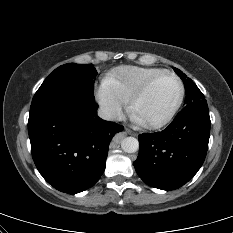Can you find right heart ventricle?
<instances>
[{"label": "right heart ventricle", "mask_w": 233, "mask_h": 233, "mask_svg": "<svg viewBox=\"0 0 233 233\" xmlns=\"http://www.w3.org/2000/svg\"><path fill=\"white\" fill-rule=\"evenodd\" d=\"M162 71L156 67L121 66L104 78L103 85L125 104L147 80Z\"/></svg>", "instance_id": "1"}]
</instances>
